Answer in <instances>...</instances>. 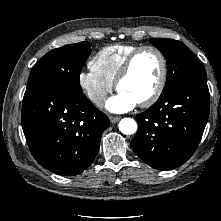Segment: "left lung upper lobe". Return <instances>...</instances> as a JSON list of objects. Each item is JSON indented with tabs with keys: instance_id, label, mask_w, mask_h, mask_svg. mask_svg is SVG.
Returning <instances> with one entry per match:
<instances>
[{
	"instance_id": "left-lung-upper-lobe-1",
	"label": "left lung upper lobe",
	"mask_w": 221,
	"mask_h": 221,
	"mask_svg": "<svg viewBox=\"0 0 221 221\" xmlns=\"http://www.w3.org/2000/svg\"><path fill=\"white\" fill-rule=\"evenodd\" d=\"M150 42L163 53L167 61V80L162 94L189 79L206 77L200 61L182 42L168 38H151Z\"/></svg>"
}]
</instances>
